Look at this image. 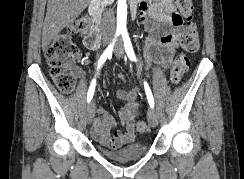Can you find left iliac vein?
Segmentation results:
<instances>
[{
	"mask_svg": "<svg viewBox=\"0 0 244 179\" xmlns=\"http://www.w3.org/2000/svg\"><path fill=\"white\" fill-rule=\"evenodd\" d=\"M114 53L117 58H122L124 56V49L121 39H118V41L116 42ZM147 119L150 125L153 127H155L158 124L157 113L153 108H149L147 112Z\"/></svg>",
	"mask_w": 244,
	"mask_h": 179,
	"instance_id": "4c4485c4",
	"label": "left iliac vein"
}]
</instances>
